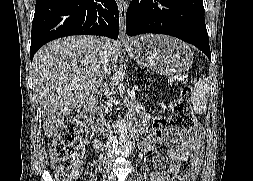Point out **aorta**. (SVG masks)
Listing matches in <instances>:
<instances>
[{
	"mask_svg": "<svg viewBox=\"0 0 253 181\" xmlns=\"http://www.w3.org/2000/svg\"><path fill=\"white\" fill-rule=\"evenodd\" d=\"M124 115L123 113L121 114ZM116 128H118V139H119V147L122 150V155H127V149L129 145L126 142L127 139V125L124 123V119L121 117L119 119V123H116Z\"/></svg>",
	"mask_w": 253,
	"mask_h": 181,
	"instance_id": "obj_1",
	"label": "aorta"
}]
</instances>
